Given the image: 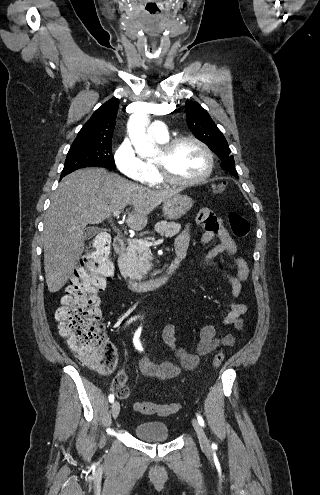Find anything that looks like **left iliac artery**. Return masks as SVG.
<instances>
[{
  "instance_id": "left-iliac-artery-1",
  "label": "left iliac artery",
  "mask_w": 320,
  "mask_h": 495,
  "mask_svg": "<svg viewBox=\"0 0 320 495\" xmlns=\"http://www.w3.org/2000/svg\"><path fill=\"white\" fill-rule=\"evenodd\" d=\"M140 334H141V328H139V329L136 331V333H135V335H134V338H133V343H134V345H135L136 349H138L139 351H143L142 345H141L140 340H139V336H140ZM197 419H198L199 424H200L202 427H204V420H203V418H202V416H201L200 414H197ZM212 447H213V448H215V447H216V445L213 443V444H212Z\"/></svg>"
}]
</instances>
